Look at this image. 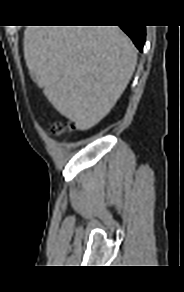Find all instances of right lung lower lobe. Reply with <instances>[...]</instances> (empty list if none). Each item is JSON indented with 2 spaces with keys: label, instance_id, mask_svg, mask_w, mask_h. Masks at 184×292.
<instances>
[{
  "label": "right lung lower lobe",
  "instance_id": "1",
  "mask_svg": "<svg viewBox=\"0 0 184 292\" xmlns=\"http://www.w3.org/2000/svg\"><path fill=\"white\" fill-rule=\"evenodd\" d=\"M123 31L132 39L136 47L142 52L143 46L146 38L145 26H120Z\"/></svg>",
  "mask_w": 184,
  "mask_h": 292
}]
</instances>
